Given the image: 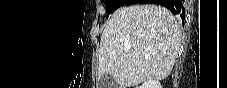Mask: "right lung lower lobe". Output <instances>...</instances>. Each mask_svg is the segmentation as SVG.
<instances>
[{
  "label": "right lung lower lobe",
  "instance_id": "1",
  "mask_svg": "<svg viewBox=\"0 0 227 88\" xmlns=\"http://www.w3.org/2000/svg\"><path fill=\"white\" fill-rule=\"evenodd\" d=\"M133 3H153L160 4L168 8L173 14L185 19L184 0H133Z\"/></svg>",
  "mask_w": 227,
  "mask_h": 88
}]
</instances>
